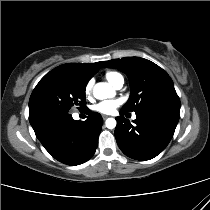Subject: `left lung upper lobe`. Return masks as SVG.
<instances>
[{
    "label": "left lung upper lobe",
    "instance_id": "obj_1",
    "mask_svg": "<svg viewBox=\"0 0 210 210\" xmlns=\"http://www.w3.org/2000/svg\"><path fill=\"white\" fill-rule=\"evenodd\" d=\"M103 67L116 68L127 74L131 95L122 110L139 112L151 108L180 111V99L170 76L155 63L139 57L106 61Z\"/></svg>",
    "mask_w": 210,
    "mask_h": 210
}]
</instances>
